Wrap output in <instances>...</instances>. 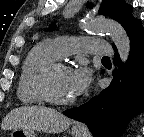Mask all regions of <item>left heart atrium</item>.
<instances>
[{
  "label": "left heart atrium",
  "mask_w": 144,
  "mask_h": 137,
  "mask_svg": "<svg viewBox=\"0 0 144 137\" xmlns=\"http://www.w3.org/2000/svg\"><path fill=\"white\" fill-rule=\"evenodd\" d=\"M92 83V72L86 66L78 67L71 71L70 89L74 96L86 93Z\"/></svg>",
  "instance_id": "obj_1"
}]
</instances>
